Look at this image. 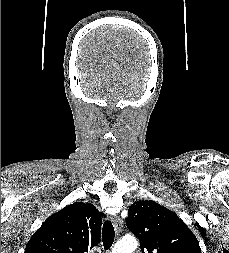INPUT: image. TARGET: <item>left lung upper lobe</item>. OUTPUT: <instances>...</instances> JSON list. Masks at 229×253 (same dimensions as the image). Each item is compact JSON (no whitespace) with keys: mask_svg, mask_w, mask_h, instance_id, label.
Instances as JSON below:
<instances>
[{"mask_svg":"<svg viewBox=\"0 0 229 253\" xmlns=\"http://www.w3.org/2000/svg\"><path fill=\"white\" fill-rule=\"evenodd\" d=\"M127 228L138 237L142 253H200L199 242L176 215L152 200L129 207Z\"/></svg>","mask_w":229,"mask_h":253,"instance_id":"obj_1","label":"left lung upper lobe"}]
</instances>
